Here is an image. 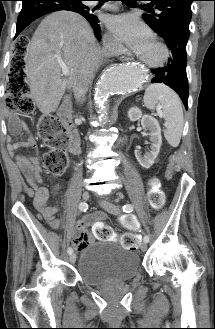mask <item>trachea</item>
<instances>
[{"label":"trachea","mask_w":215,"mask_h":329,"mask_svg":"<svg viewBox=\"0 0 215 329\" xmlns=\"http://www.w3.org/2000/svg\"><path fill=\"white\" fill-rule=\"evenodd\" d=\"M122 1L124 4L128 5V6H133L136 4V0H120ZM145 7H147L146 5H144Z\"/></svg>","instance_id":"3493384b"}]
</instances>
